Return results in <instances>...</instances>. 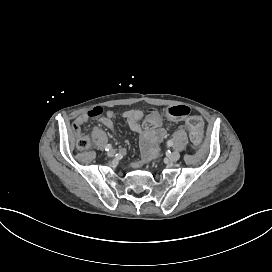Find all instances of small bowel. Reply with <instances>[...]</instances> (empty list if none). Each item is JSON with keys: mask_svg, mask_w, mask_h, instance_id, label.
<instances>
[{"mask_svg": "<svg viewBox=\"0 0 272 272\" xmlns=\"http://www.w3.org/2000/svg\"><path fill=\"white\" fill-rule=\"evenodd\" d=\"M116 116V112L110 110L104 116L98 118L96 123L113 130L114 119ZM123 117L125 118L130 130L140 134V145L143 161H149L157 153V143L164 140L167 136L166 129L160 126L161 122L159 119V124L156 127L150 129L145 128V130H143L140 124L143 118V112L138 109H129L124 111ZM87 120V115L83 113L77 116L74 122H82L84 124L87 122Z\"/></svg>", "mask_w": 272, "mask_h": 272, "instance_id": "c3829d8e", "label": "small bowel"}]
</instances>
